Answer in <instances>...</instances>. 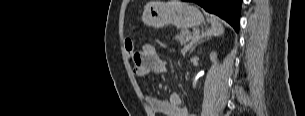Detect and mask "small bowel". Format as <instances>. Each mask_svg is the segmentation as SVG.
<instances>
[{"label": "small bowel", "instance_id": "obj_1", "mask_svg": "<svg viewBox=\"0 0 305 116\" xmlns=\"http://www.w3.org/2000/svg\"><path fill=\"white\" fill-rule=\"evenodd\" d=\"M134 61L133 73L139 79H143L149 73L161 74L168 65L167 61L159 57L157 49L151 44H145ZM144 98L153 114L193 116L184 105L179 93H172L168 100H161L150 94H145Z\"/></svg>", "mask_w": 305, "mask_h": 116}]
</instances>
